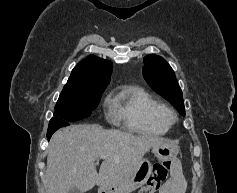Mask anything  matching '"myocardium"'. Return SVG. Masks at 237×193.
<instances>
[{
	"label": "myocardium",
	"instance_id": "f54148a6",
	"mask_svg": "<svg viewBox=\"0 0 237 193\" xmlns=\"http://www.w3.org/2000/svg\"><path fill=\"white\" fill-rule=\"evenodd\" d=\"M163 118L169 126L172 125L176 121L175 113L169 108H165L163 112Z\"/></svg>",
	"mask_w": 237,
	"mask_h": 193
}]
</instances>
